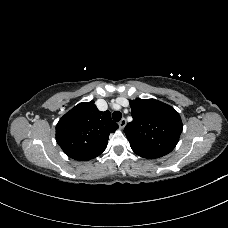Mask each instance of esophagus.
<instances>
[{
  "label": "esophagus",
  "instance_id": "obj_1",
  "mask_svg": "<svg viewBox=\"0 0 228 228\" xmlns=\"http://www.w3.org/2000/svg\"><path fill=\"white\" fill-rule=\"evenodd\" d=\"M126 119L125 118H122L119 122V128L120 129H123L125 126H126Z\"/></svg>",
  "mask_w": 228,
  "mask_h": 228
}]
</instances>
